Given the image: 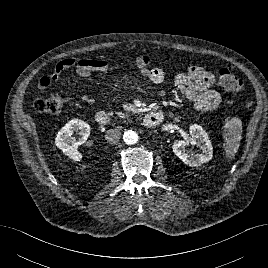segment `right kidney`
Masks as SVG:
<instances>
[{"label":"right kidney","mask_w":268,"mask_h":268,"mask_svg":"<svg viewBox=\"0 0 268 268\" xmlns=\"http://www.w3.org/2000/svg\"><path fill=\"white\" fill-rule=\"evenodd\" d=\"M74 132H78L80 137L73 138ZM89 135V124L80 119H73L60 129L55 138V144L70 159L81 161L82 154L77 149L78 146L86 142Z\"/></svg>","instance_id":"obj_1"}]
</instances>
